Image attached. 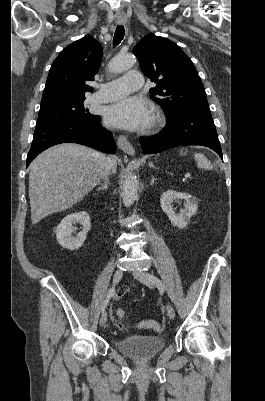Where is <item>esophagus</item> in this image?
<instances>
[{"label":"esophagus","mask_w":265,"mask_h":401,"mask_svg":"<svg viewBox=\"0 0 265 401\" xmlns=\"http://www.w3.org/2000/svg\"><path fill=\"white\" fill-rule=\"evenodd\" d=\"M117 23L119 25H122L124 23V21L123 20H117ZM117 144H118V147L122 151L127 153L128 155H134L135 150H134L133 146L131 145V143L129 142V140L125 136L120 135L118 137V139H117Z\"/></svg>","instance_id":"obj_1"}]
</instances>
